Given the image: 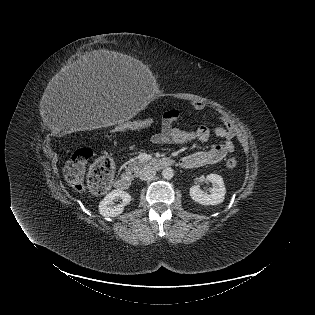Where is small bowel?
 <instances>
[{
    "label": "small bowel",
    "mask_w": 315,
    "mask_h": 315,
    "mask_svg": "<svg viewBox=\"0 0 315 315\" xmlns=\"http://www.w3.org/2000/svg\"><path fill=\"white\" fill-rule=\"evenodd\" d=\"M191 107L195 111H201L204 105L200 102H191ZM181 118L179 110L172 109L163 114L161 130L152 135L151 140L157 144H176L182 145L193 141L205 142L209 139L211 131L207 126L201 125L195 129L180 128L177 126ZM219 118L223 126L214 130L216 136L223 138L224 142L216 144L207 150L197 151L183 157L180 165L184 168H198L221 162L228 154L234 151L233 138L235 130L223 114L219 113Z\"/></svg>",
    "instance_id": "c3829d8e"
}]
</instances>
